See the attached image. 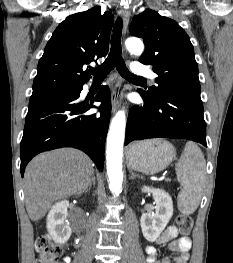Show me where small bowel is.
Returning <instances> with one entry per match:
<instances>
[{"label":"small bowel","mask_w":233,"mask_h":263,"mask_svg":"<svg viewBox=\"0 0 233 263\" xmlns=\"http://www.w3.org/2000/svg\"><path fill=\"white\" fill-rule=\"evenodd\" d=\"M157 245L168 244V250L176 253L173 258L164 257L158 259V251L155 246L148 245L145 247L146 263H187L189 253L192 248V241L186 235L180 236L179 229L172 225L169 226L160 237L155 241ZM64 263H70V257L63 259Z\"/></svg>","instance_id":"small-bowel-1"}]
</instances>
